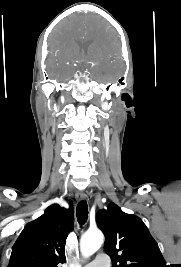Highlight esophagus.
<instances>
[{"label": "esophagus", "instance_id": "esophagus-1", "mask_svg": "<svg viewBox=\"0 0 181 267\" xmlns=\"http://www.w3.org/2000/svg\"><path fill=\"white\" fill-rule=\"evenodd\" d=\"M76 197L78 200H85L87 198V194L83 191L77 192Z\"/></svg>", "mask_w": 181, "mask_h": 267}]
</instances>
